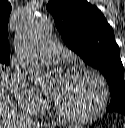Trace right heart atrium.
Returning <instances> with one entry per match:
<instances>
[{
	"label": "right heart atrium",
	"instance_id": "right-heart-atrium-1",
	"mask_svg": "<svg viewBox=\"0 0 125 128\" xmlns=\"http://www.w3.org/2000/svg\"><path fill=\"white\" fill-rule=\"evenodd\" d=\"M12 91L18 107L28 114H38L47 106V101L27 85L20 74L12 75Z\"/></svg>",
	"mask_w": 125,
	"mask_h": 128
}]
</instances>
